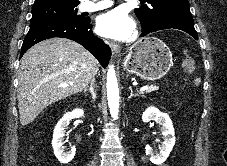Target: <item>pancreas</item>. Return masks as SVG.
<instances>
[{
	"label": "pancreas",
	"instance_id": "cf45deb5",
	"mask_svg": "<svg viewBox=\"0 0 227 166\" xmlns=\"http://www.w3.org/2000/svg\"><path fill=\"white\" fill-rule=\"evenodd\" d=\"M155 90H158V87L152 85V86L149 87V90L147 92H152V91H155Z\"/></svg>",
	"mask_w": 227,
	"mask_h": 166
}]
</instances>
